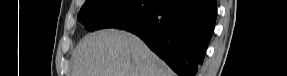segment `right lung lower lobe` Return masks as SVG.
I'll use <instances>...</instances> for the list:
<instances>
[{
  "instance_id": "98d812e1",
  "label": "right lung lower lobe",
  "mask_w": 287,
  "mask_h": 76,
  "mask_svg": "<svg viewBox=\"0 0 287 76\" xmlns=\"http://www.w3.org/2000/svg\"><path fill=\"white\" fill-rule=\"evenodd\" d=\"M216 14V0H157L146 20L123 29L139 36L179 76H196Z\"/></svg>"
}]
</instances>
